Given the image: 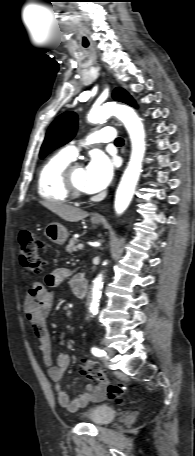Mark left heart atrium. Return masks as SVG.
<instances>
[{"instance_id": "39dd6f15", "label": "left heart atrium", "mask_w": 195, "mask_h": 456, "mask_svg": "<svg viewBox=\"0 0 195 456\" xmlns=\"http://www.w3.org/2000/svg\"><path fill=\"white\" fill-rule=\"evenodd\" d=\"M113 173L114 164L106 155H93L85 168V190L95 193L104 189L111 182Z\"/></svg>"}]
</instances>
